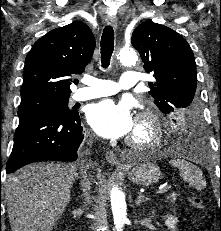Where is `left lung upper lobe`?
Instances as JSON below:
<instances>
[{
	"label": "left lung upper lobe",
	"instance_id": "obj_1",
	"mask_svg": "<svg viewBox=\"0 0 221 231\" xmlns=\"http://www.w3.org/2000/svg\"><path fill=\"white\" fill-rule=\"evenodd\" d=\"M131 43L146 72L154 73L156 82H149V94L157 107L172 115L198 110L196 63L186 40L164 25L146 21L134 30Z\"/></svg>",
	"mask_w": 221,
	"mask_h": 231
}]
</instances>
